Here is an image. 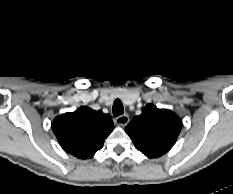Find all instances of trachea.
Here are the masks:
<instances>
[{"label": "trachea", "mask_w": 233, "mask_h": 194, "mask_svg": "<svg viewBox=\"0 0 233 194\" xmlns=\"http://www.w3.org/2000/svg\"><path fill=\"white\" fill-rule=\"evenodd\" d=\"M112 112L115 117L123 114L124 112L123 104L119 99L115 100L112 107Z\"/></svg>", "instance_id": "1"}]
</instances>
